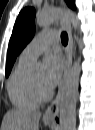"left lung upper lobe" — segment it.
Segmentation results:
<instances>
[{
	"instance_id": "1",
	"label": "left lung upper lobe",
	"mask_w": 95,
	"mask_h": 130,
	"mask_svg": "<svg viewBox=\"0 0 95 130\" xmlns=\"http://www.w3.org/2000/svg\"><path fill=\"white\" fill-rule=\"evenodd\" d=\"M66 2L69 7L75 8L74 0H66ZM34 18L35 10L28 7L20 12L15 22L8 47L6 76L10 74L17 55L23 50L27 43H29L34 35Z\"/></svg>"
}]
</instances>
